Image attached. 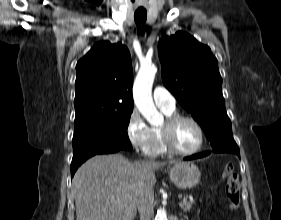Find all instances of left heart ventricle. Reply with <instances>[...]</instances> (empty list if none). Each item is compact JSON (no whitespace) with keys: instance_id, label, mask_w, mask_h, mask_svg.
Masks as SVG:
<instances>
[{"instance_id":"1","label":"left heart ventricle","mask_w":281,"mask_h":220,"mask_svg":"<svg viewBox=\"0 0 281 220\" xmlns=\"http://www.w3.org/2000/svg\"><path fill=\"white\" fill-rule=\"evenodd\" d=\"M172 138L174 145L182 151L194 149L199 142V134L196 127L188 122L181 121L173 129Z\"/></svg>"}]
</instances>
